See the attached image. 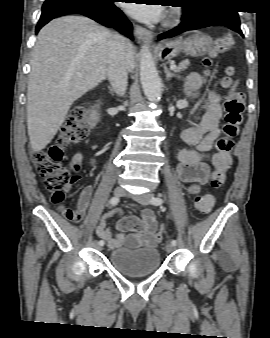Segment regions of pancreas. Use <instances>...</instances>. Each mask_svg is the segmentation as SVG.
Instances as JSON below:
<instances>
[{"label":"pancreas","instance_id":"cf45deb5","mask_svg":"<svg viewBox=\"0 0 270 338\" xmlns=\"http://www.w3.org/2000/svg\"><path fill=\"white\" fill-rule=\"evenodd\" d=\"M186 66H187V63H186V62H182V63L179 65V67H177V68L175 69V73L181 72L182 70H184V69L186 68Z\"/></svg>","mask_w":270,"mask_h":338}]
</instances>
